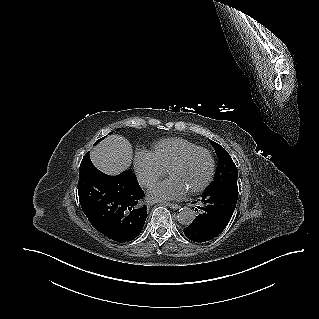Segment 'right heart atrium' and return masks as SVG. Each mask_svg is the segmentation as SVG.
<instances>
[{"mask_svg": "<svg viewBox=\"0 0 319 319\" xmlns=\"http://www.w3.org/2000/svg\"><path fill=\"white\" fill-rule=\"evenodd\" d=\"M134 170L139 183L144 187L152 186L165 173L150 152L138 151L134 157Z\"/></svg>", "mask_w": 319, "mask_h": 319, "instance_id": "obj_1", "label": "right heart atrium"}]
</instances>
